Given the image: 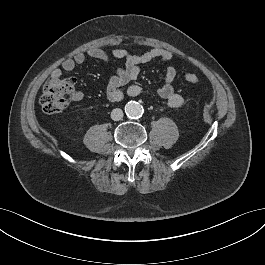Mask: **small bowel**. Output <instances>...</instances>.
I'll use <instances>...</instances> for the list:
<instances>
[{
	"label": "small bowel",
	"mask_w": 265,
	"mask_h": 265,
	"mask_svg": "<svg viewBox=\"0 0 265 265\" xmlns=\"http://www.w3.org/2000/svg\"><path fill=\"white\" fill-rule=\"evenodd\" d=\"M95 58L102 61H110L112 59L123 60V65L118 68L116 75L111 77L106 89V96L110 102H119L124 98L125 92L123 86L138 78L141 66L153 60L169 62L173 55L169 50L155 48L140 55H132L124 49L113 48L110 51H105L100 48H90L85 53L78 52L73 57L66 58L62 61L60 68H55L51 72V76H61L62 72H70L77 65L83 64L86 57ZM176 69L169 65L164 72V80L158 87L157 93L165 103L172 108L182 106L184 99L174 89L173 82L176 78ZM142 93V88L138 85H131L127 89V94L130 96H138ZM82 93L76 92L74 100L82 99Z\"/></svg>",
	"instance_id": "obj_1"
}]
</instances>
